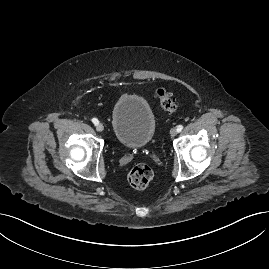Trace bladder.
Here are the masks:
<instances>
[{
    "mask_svg": "<svg viewBox=\"0 0 269 269\" xmlns=\"http://www.w3.org/2000/svg\"><path fill=\"white\" fill-rule=\"evenodd\" d=\"M111 124L114 137L121 145L139 148L153 139L156 117L144 97L124 94L113 106Z\"/></svg>",
    "mask_w": 269,
    "mask_h": 269,
    "instance_id": "31cf9c89",
    "label": "bladder"
}]
</instances>
